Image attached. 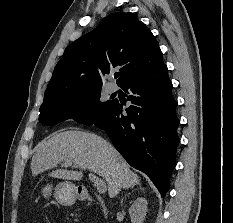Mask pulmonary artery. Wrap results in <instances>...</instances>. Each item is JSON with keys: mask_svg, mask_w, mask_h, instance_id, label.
I'll return each instance as SVG.
<instances>
[{"mask_svg": "<svg viewBox=\"0 0 233 223\" xmlns=\"http://www.w3.org/2000/svg\"><path fill=\"white\" fill-rule=\"evenodd\" d=\"M115 89H116L115 86H111V87H110V90H111V91H115Z\"/></svg>", "mask_w": 233, "mask_h": 223, "instance_id": "1", "label": "pulmonary artery"}]
</instances>
